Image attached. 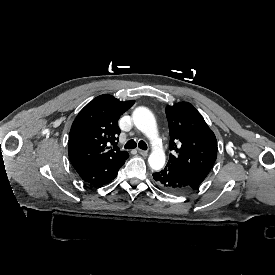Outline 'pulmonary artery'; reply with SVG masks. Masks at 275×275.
<instances>
[{
    "mask_svg": "<svg viewBox=\"0 0 275 275\" xmlns=\"http://www.w3.org/2000/svg\"><path fill=\"white\" fill-rule=\"evenodd\" d=\"M155 136H158V132H155Z\"/></svg>",
    "mask_w": 275,
    "mask_h": 275,
    "instance_id": "pulmonary-artery-1",
    "label": "pulmonary artery"
}]
</instances>
